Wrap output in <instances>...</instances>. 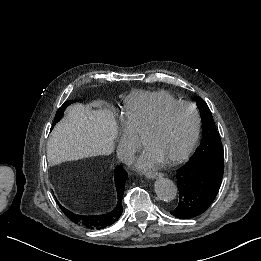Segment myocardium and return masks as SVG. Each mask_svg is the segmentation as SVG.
I'll list each match as a JSON object with an SVG mask.
<instances>
[{"label": "myocardium", "mask_w": 261, "mask_h": 261, "mask_svg": "<svg viewBox=\"0 0 261 261\" xmlns=\"http://www.w3.org/2000/svg\"><path fill=\"white\" fill-rule=\"evenodd\" d=\"M172 107H183V108H187L188 110H190L192 112V114L194 115V127H193L189 140L187 141V143L184 145V147L179 152H177L167 158L160 159L164 164H171L174 162L181 161L189 154V152L194 147V145L198 139L200 129H201V124H202V118H201V115H200V112L198 111V109L189 102L173 101V102L166 103L165 105H163L159 110H157L154 113L142 116L137 121V124H136V128H137L138 126L144 124L147 121L156 119L164 111H166Z\"/></svg>", "instance_id": "1"}]
</instances>
